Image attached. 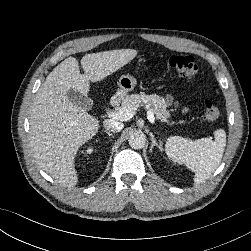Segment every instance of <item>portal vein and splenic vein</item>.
<instances>
[{
	"label": "portal vein and splenic vein",
	"mask_w": 251,
	"mask_h": 251,
	"mask_svg": "<svg viewBox=\"0 0 251 251\" xmlns=\"http://www.w3.org/2000/svg\"><path fill=\"white\" fill-rule=\"evenodd\" d=\"M134 114V107L116 108L114 112L108 114V117L115 120L128 121L134 116ZM147 118L151 124L155 123L154 113L150 109L147 111Z\"/></svg>",
	"instance_id": "obj_1"
}]
</instances>
